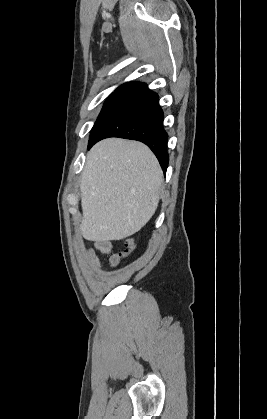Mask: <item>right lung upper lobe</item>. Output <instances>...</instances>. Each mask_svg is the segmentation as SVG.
<instances>
[{"label":"right lung upper lobe","instance_id":"1","mask_svg":"<svg viewBox=\"0 0 267 419\" xmlns=\"http://www.w3.org/2000/svg\"><path fill=\"white\" fill-rule=\"evenodd\" d=\"M143 84L144 83H141V82H127V83L119 86L115 90V92L129 94V93L133 92L134 90H136L137 88H139L140 86H142Z\"/></svg>","mask_w":267,"mask_h":419}]
</instances>
